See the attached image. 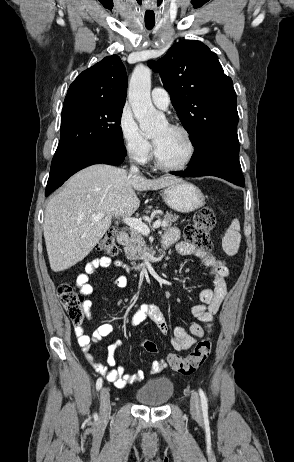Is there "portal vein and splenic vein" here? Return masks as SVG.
Instances as JSON below:
<instances>
[{"label": "portal vein and splenic vein", "mask_w": 294, "mask_h": 462, "mask_svg": "<svg viewBox=\"0 0 294 462\" xmlns=\"http://www.w3.org/2000/svg\"><path fill=\"white\" fill-rule=\"evenodd\" d=\"M104 217L103 213H98L96 215L92 216L93 220H99ZM123 222L127 224L129 227H131L134 230H137L138 232L148 235L150 233V228L142 222L141 219L133 218V217H124ZM162 222L160 220H157L153 223V228H159L161 226Z\"/></svg>", "instance_id": "1"}]
</instances>
